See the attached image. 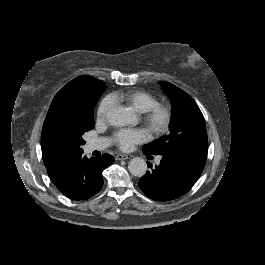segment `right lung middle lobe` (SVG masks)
Here are the masks:
<instances>
[{"instance_id": "1", "label": "right lung middle lobe", "mask_w": 265, "mask_h": 265, "mask_svg": "<svg viewBox=\"0 0 265 265\" xmlns=\"http://www.w3.org/2000/svg\"><path fill=\"white\" fill-rule=\"evenodd\" d=\"M107 86L103 81L79 87L66 98L56 115L49 144L61 157L74 159L83 153L82 136L94 128V107Z\"/></svg>"}]
</instances>
